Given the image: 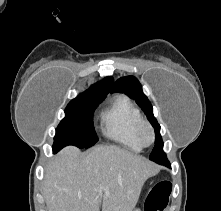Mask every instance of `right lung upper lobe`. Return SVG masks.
<instances>
[{
	"label": "right lung upper lobe",
	"instance_id": "right-lung-upper-lobe-1",
	"mask_svg": "<svg viewBox=\"0 0 221 211\" xmlns=\"http://www.w3.org/2000/svg\"><path fill=\"white\" fill-rule=\"evenodd\" d=\"M112 88H113V78L107 77L104 78L102 81L92 85L87 91L80 94L77 98L81 97L94 98L99 96H106L109 92H112Z\"/></svg>",
	"mask_w": 221,
	"mask_h": 211
}]
</instances>
